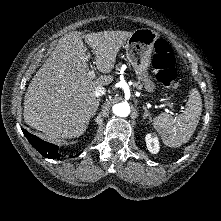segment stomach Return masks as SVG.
<instances>
[{"label": "stomach", "instance_id": "1", "mask_svg": "<svg viewBox=\"0 0 221 221\" xmlns=\"http://www.w3.org/2000/svg\"><path fill=\"white\" fill-rule=\"evenodd\" d=\"M158 38V33L155 31L141 28L132 33L125 45L127 59L148 92L155 90V84L149 76L148 68L151 65L152 52Z\"/></svg>", "mask_w": 221, "mask_h": 221}]
</instances>
